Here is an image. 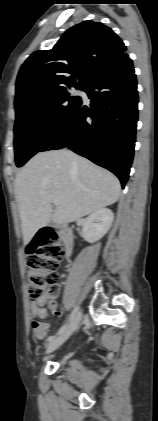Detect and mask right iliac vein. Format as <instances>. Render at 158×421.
I'll return each instance as SVG.
<instances>
[{
  "mask_svg": "<svg viewBox=\"0 0 158 421\" xmlns=\"http://www.w3.org/2000/svg\"><path fill=\"white\" fill-rule=\"evenodd\" d=\"M81 320V313L78 312L73 319L71 320L70 324L66 328V330L61 333L58 337L50 341L46 347V354H49L56 349H58L65 341L69 339V337L73 334V332L78 327V324Z\"/></svg>",
  "mask_w": 158,
  "mask_h": 421,
  "instance_id": "right-iliac-vein-1",
  "label": "right iliac vein"
}]
</instances>
